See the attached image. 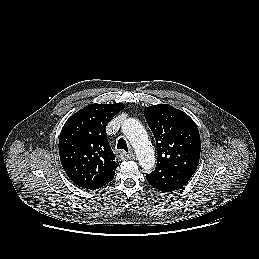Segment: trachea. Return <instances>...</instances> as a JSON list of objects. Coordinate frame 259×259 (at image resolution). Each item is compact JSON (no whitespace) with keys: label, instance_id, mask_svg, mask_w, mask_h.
I'll list each match as a JSON object with an SVG mask.
<instances>
[{"label":"trachea","instance_id":"1","mask_svg":"<svg viewBox=\"0 0 259 259\" xmlns=\"http://www.w3.org/2000/svg\"><path fill=\"white\" fill-rule=\"evenodd\" d=\"M117 149L128 151V146L124 138H120L117 143Z\"/></svg>","mask_w":259,"mask_h":259}]
</instances>
